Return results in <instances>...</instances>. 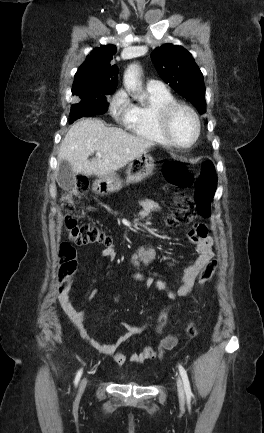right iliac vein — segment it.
<instances>
[{
	"label": "right iliac vein",
	"instance_id": "obj_1",
	"mask_svg": "<svg viewBox=\"0 0 264 433\" xmlns=\"http://www.w3.org/2000/svg\"><path fill=\"white\" fill-rule=\"evenodd\" d=\"M87 385V378H84L80 384L79 394H82Z\"/></svg>",
	"mask_w": 264,
	"mask_h": 433
}]
</instances>
